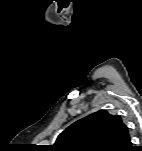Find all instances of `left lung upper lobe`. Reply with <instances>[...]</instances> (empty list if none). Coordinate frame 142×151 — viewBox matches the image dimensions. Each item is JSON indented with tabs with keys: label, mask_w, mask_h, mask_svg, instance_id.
I'll return each mask as SVG.
<instances>
[{
	"label": "left lung upper lobe",
	"mask_w": 142,
	"mask_h": 151,
	"mask_svg": "<svg viewBox=\"0 0 142 151\" xmlns=\"http://www.w3.org/2000/svg\"><path fill=\"white\" fill-rule=\"evenodd\" d=\"M129 131L119 115L99 110L67 127L54 146L61 151H128Z\"/></svg>",
	"instance_id": "1"
}]
</instances>
